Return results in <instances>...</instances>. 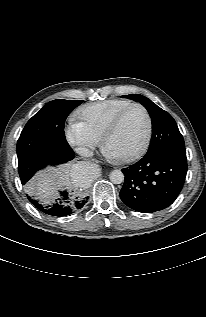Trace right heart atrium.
I'll return each instance as SVG.
<instances>
[{
  "label": "right heart atrium",
  "mask_w": 206,
  "mask_h": 317,
  "mask_svg": "<svg viewBox=\"0 0 206 317\" xmlns=\"http://www.w3.org/2000/svg\"><path fill=\"white\" fill-rule=\"evenodd\" d=\"M67 141L77 150L86 154L99 143V137L94 135L82 121L70 120L66 129Z\"/></svg>",
  "instance_id": "d8ad5b80"
}]
</instances>
